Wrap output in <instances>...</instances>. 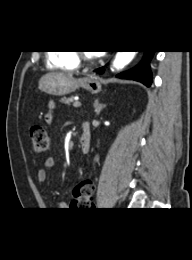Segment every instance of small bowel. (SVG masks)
I'll list each match as a JSON object with an SVG mask.
<instances>
[{"label": "small bowel", "instance_id": "c3829d8e", "mask_svg": "<svg viewBox=\"0 0 192 260\" xmlns=\"http://www.w3.org/2000/svg\"><path fill=\"white\" fill-rule=\"evenodd\" d=\"M55 108V104L53 102H51L49 104V112L46 115V122L48 124H50L52 122L53 119V109ZM56 165V160L53 157H49L46 159L45 161V169H40L37 172V179L40 183H43L46 180L47 177V172L46 170H50L53 169ZM93 205V203L91 201H86L84 203L78 202L73 200L71 203V207L73 208H89ZM55 208L57 210H63L65 208H67V204L64 201H57L55 203Z\"/></svg>", "mask_w": 192, "mask_h": 260}]
</instances>
